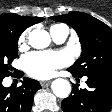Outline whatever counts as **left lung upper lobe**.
Masks as SVG:
<instances>
[{"mask_svg":"<svg viewBox=\"0 0 112 112\" xmlns=\"http://www.w3.org/2000/svg\"><path fill=\"white\" fill-rule=\"evenodd\" d=\"M50 19L72 26L80 39L81 57L68 70L82 77L112 71V30L102 21L82 12H72Z\"/></svg>","mask_w":112,"mask_h":112,"instance_id":"5c2ea615","label":"left lung upper lobe"}]
</instances>
